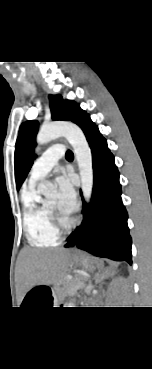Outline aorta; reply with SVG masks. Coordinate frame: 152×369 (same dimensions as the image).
<instances>
[{
    "mask_svg": "<svg viewBox=\"0 0 152 369\" xmlns=\"http://www.w3.org/2000/svg\"><path fill=\"white\" fill-rule=\"evenodd\" d=\"M61 136H64L74 149L81 178V189L85 201L89 202L93 190L92 153L80 127L70 122L43 125L36 138L37 148ZM38 190L46 197H53L56 194V186L49 181L41 182Z\"/></svg>",
    "mask_w": 152,
    "mask_h": 369,
    "instance_id": "aorta-1",
    "label": "aorta"
}]
</instances>
